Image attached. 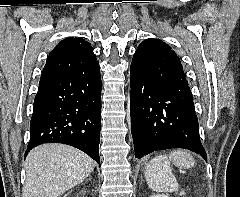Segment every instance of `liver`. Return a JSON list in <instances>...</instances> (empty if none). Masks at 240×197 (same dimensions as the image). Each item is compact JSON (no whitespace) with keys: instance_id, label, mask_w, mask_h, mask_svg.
Masks as SVG:
<instances>
[{"instance_id":"liver-1","label":"liver","mask_w":240,"mask_h":197,"mask_svg":"<svg viewBox=\"0 0 240 197\" xmlns=\"http://www.w3.org/2000/svg\"><path fill=\"white\" fill-rule=\"evenodd\" d=\"M95 161L65 144H43L32 149L25 161L23 197H60L83 182L94 170Z\"/></svg>"}]
</instances>
